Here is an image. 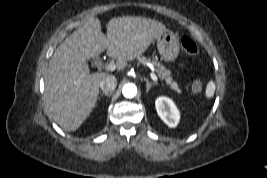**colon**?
I'll return each instance as SVG.
<instances>
[{
  "label": "colon",
  "mask_w": 267,
  "mask_h": 178,
  "mask_svg": "<svg viewBox=\"0 0 267 178\" xmlns=\"http://www.w3.org/2000/svg\"><path fill=\"white\" fill-rule=\"evenodd\" d=\"M181 45L183 50L188 54V55H196L198 53V47L196 43L189 37L183 36L181 38ZM194 90H199L201 88V83L196 81L193 84Z\"/></svg>",
  "instance_id": "5ec220e1"
}]
</instances>
